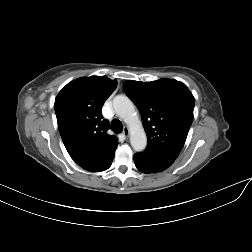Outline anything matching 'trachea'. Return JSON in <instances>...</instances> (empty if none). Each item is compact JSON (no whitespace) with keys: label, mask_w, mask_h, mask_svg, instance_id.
Masks as SVG:
<instances>
[{"label":"trachea","mask_w":252,"mask_h":252,"mask_svg":"<svg viewBox=\"0 0 252 252\" xmlns=\"http://www.w3.org/2000/svg\"><path fill=\"white\" fill-rule=\"evenodd\" d=\"M111 129H112L115 133H120V132H122V130H123L122 123H121L119 120H117V119L113 120L112 123H111Z\"/></svg>","instance_id":"1"}]
</instances>
